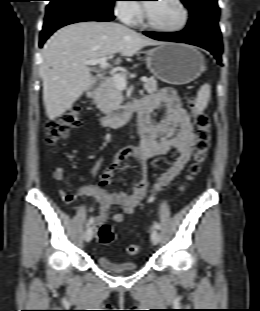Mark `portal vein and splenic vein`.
<instances>
[{"instance_id": "obj_1", "label": "portal vein and splenic vein", "mask_w": 260, "mask_h": 311, "mask_svg": "<svg viewBox=\"0 0 260 311\" xmlns=\"http://www.w3.org/2000/svg\"><path fill=\"white\" fill-rule=\"evenodd\" d=\"M107 60H108L107 57H103V58L96 59V60H87V61H84V63L86 65H100L102 69H107V66H108ZM112 79L119 89L122 90L126 88V80L119 74H114ZM141 81L147 82L148 79L146 77H142Z\"/></svg>"}]
</instances>
